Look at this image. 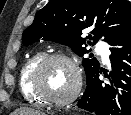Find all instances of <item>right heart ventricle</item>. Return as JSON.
<instances>
[{
    "mask_svg": "<svg viewBox=\"0 0 131 115\" xmlns=\"http://www.w3.org/2000/svg\"><path fill=\"white\" fill-rule=\"evenodd\" d=\"M42 52H36L29 56L21 66L19 72V89L24 100L32 105L41 106L43 101L34 94L31 89L30 80L33 68L43 57Z\"/></svg>",
    "mask_w": 131,
    "mask_h": 115,
    "instance_id": "right-heart-ventricle-1",
    "label": "right heart ventricle"
}]
</instances>
